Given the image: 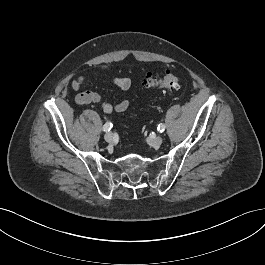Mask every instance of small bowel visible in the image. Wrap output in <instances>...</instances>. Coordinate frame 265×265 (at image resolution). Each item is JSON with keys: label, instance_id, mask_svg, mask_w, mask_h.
Masks as SVG:
<instances>
[{"label": "small bowel", "instance_id": "obj_1", "mask_svg": "<svg viewBox=\"0 0 265 265\" xmlns=\"http://www.w3.org/2000/svg\"><path fill=\"white\" fill-rule=\"evenodd\" d=\"M110 71L108 66H98L90 75H103ZM89 75H81L72 81V88L80 91L76 96V102L79 105L96 104L99 105L105 113L124 112L129 108L130 102L122 100L116 104H111L101 98L95 92L86 90ZM111 82L122 90H128L131 87V80L127 77H112Z\"/></svg>", "mask_w": 265, "mask_h": 265}]
</instances>
